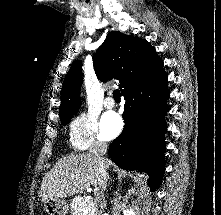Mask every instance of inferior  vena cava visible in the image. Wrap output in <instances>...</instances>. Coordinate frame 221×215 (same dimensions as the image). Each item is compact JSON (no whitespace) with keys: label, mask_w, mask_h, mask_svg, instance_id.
<instances>
[{"label":"inferior vena cava","mask_w":221,"mask_h":215,"mask_svg":"<svg viewBox=\"0 0 221 215\" xmlns=\"http://www.w3.org/2000/svg\"><path fill=\"white\" fill-rule=\"evenodd\" d=\"M106 152H107V144L99 140H95L91 144L89 149V153H91L95 157L98 163V174L94 184V194H95V201L100 205L101 208H103L104 191L108 180V175L106 171V164L108 159L104 157ZM97 215H101V213Z\"/></svg>","instance_id":"obj_1"}]
</instances>
